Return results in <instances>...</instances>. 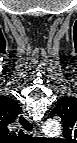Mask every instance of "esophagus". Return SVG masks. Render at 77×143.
I'll return each mask as SVG.
<instances>
[{"instance_id":"esophagus-1","label":"esophagus","mask_w":77,"mask_h":143,"mask_svg":"<svg viewBox=\"0 0 77 143\" xmlns=\"http://www.w3.org/2000/svg\"><path fill=\"white\" fill-rule=\"evenodd\" d=\"M18 125L26 134H31L35 131L33 121L26 114H21L17 118Z\"/></svg>"}]
</instances>
